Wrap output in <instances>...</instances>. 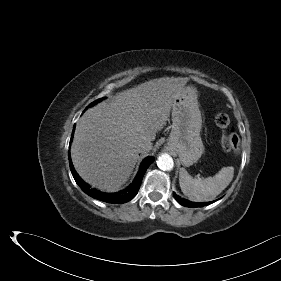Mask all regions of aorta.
Returning a JSON list of instances; mask_svg holds the SVG:
<instances>
[{"label": "aorta", "mask_w": 281, "mask_h": 281, "mask_svg": "<svg viewBox=\"0 0 281 281\" xmlns=\"http://www.w3.org/2000/svg\"><path fill=\"white\" fill-rule=\"evenodd\" d=\"M157 166L161 169V170H172L173 166H174V162L172 157L169 154H162L161 156H159L158 161H157Z\"/></svg>", "instance_id": "1"}]
</instances>
